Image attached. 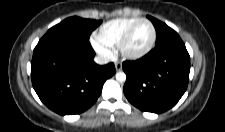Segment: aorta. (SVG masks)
I'll list each match as a JSON object with an SVG mask.
<instances>
[{
  "mask_svg": "<svg viewBox=\"0 0 225 132\" xmlns=\"http://www.w3.org/2000/svg\"><path fill=\"white\" fill-rule=\"evenodd\" d=\"M116 80L118 82H125L126 81V74L124 72H118L116 73Z\"/></svg>",
  "mask_w": 225,
  "mask_h": 132,
  "instance_id": "762f6f07",
  "label": "aorta"
}]
</instances>
